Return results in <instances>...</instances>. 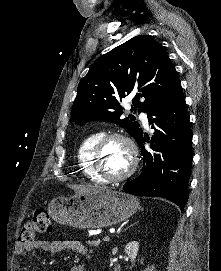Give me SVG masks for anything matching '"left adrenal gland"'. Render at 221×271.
<instances>
[{"mask_svg": "<svg viewBox=\"0 0 221 271\" xmlns=\"http://www.w3.org/2000/svg\"><path fill=\"white\" fill-rule=\"evenodd\" d=\"M132 225H134V223H132ZM126 229H128V227H126Z\"/></svg>", "mask_w": 221, "mask_h": 271, "instance_id": "1", "label": "left adrenal gland"}]
</instances>
